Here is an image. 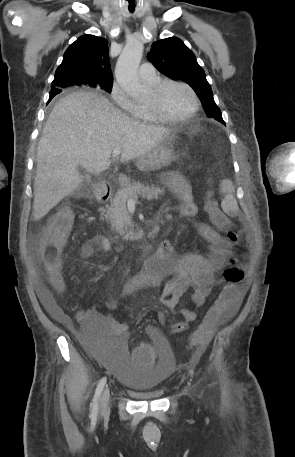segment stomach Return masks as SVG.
Returning a JSON list of instances; mask_svg holds the SVG:
<instances>
[{
    "label": "stomach",
    "mask_w": 295,
    "mask_h": 457,
    "mask_svg": "<svg viewBox=\"0 0 295 457\" xmlns=\"http://www.w3.org/2000/svg\"><path fill=\"white\" fill-rule=\"evenodd\" d=\"M176 159L175 136L171 133L156 148L137 159V167L141 171L148 172L167 166Z\"/></svg>",
    "instance_id": "1"
}]
</instances>
